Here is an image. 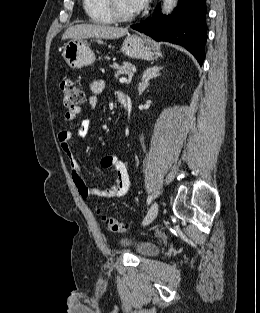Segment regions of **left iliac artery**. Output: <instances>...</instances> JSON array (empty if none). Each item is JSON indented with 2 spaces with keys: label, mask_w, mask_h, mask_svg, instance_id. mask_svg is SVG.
<instances>
[{
  "label": "left iliac artery",
  "mask_w": 260,
  "mask_h": 313,
  "mask_svg": "<svg viewBox=\"0 0 260 313\" xmlns=\"http://www.w3.org/2000/svg\"><path fill=\"white\" fill-rule=\"evenodd\" d=\"M152 200H153V196L152 195L148 196L147 204H150L152 202Z\"/></svg>",
  "instance_id": "left-iliac-artery-1"
}]
</instances>
